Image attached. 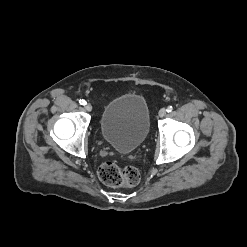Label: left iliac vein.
<instances>
[{"label":"left iliac vein","instance_id":"left-iliac-vein-1","mask_svg":"<svg viewBox=\"0 0 247 247\" xmlns=\"http://www.w3.org/2000/svg\"><path fill=\"white\" fill-rule=\"evenodd\" d=\"M166 112H167V111H166L165 108L160 109V110H159V116H160V117H164V116L166 115Z\"/></svg>","mask_w":247,"mask_h":247}]
</instances>
